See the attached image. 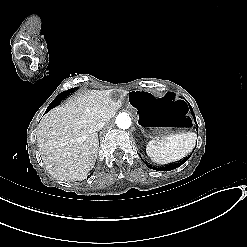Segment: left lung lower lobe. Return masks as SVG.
Returning a JSON list of instances; mask_svg holds the SVG:
<instances>
[{"instance_id": "left-lung-lower-lobe-1", "label": "left lung lower lobe", "mask_w": 247, "mask_h": 247, "mask_svg": "<svg viewBox=\"0 0 247 247\" xmlns=\"http://www.w3.org/2000/svg\"><path fill=\"white\" fill-rule=\"evenodd\" d=\"M191 155H189L187 158H185L184 160L178 162V163H175V164H170V165H167V166H163V167H158V168H155V167H152L151 165H147L150 169H154V170H158V171H170V170H173L179 166H181L183 163H185L189 157Z\"/></svg>"}]
</instances>
